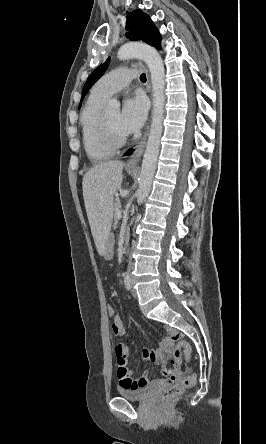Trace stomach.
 <instances>
[{
	"label": "stomach",
	"instance_id": "stomach-1",
	"mask_svg": "<svg viewBox=\"0 0 266 444\" xmlns=\"http://www.w3.org/2000/svg\"><path fill=\"white\" fill-rule=\"evenodd\" d=\"M113 244H114L113 237L109 236L107 241H106L105 250H104V253H103L104 257L106 259H108V260L112 259V257H113V252H112Z\"/></svg>",
	"mask_w": 266,
	"mask_h": 444
}]
</instances>
